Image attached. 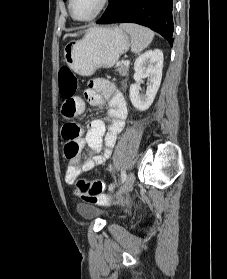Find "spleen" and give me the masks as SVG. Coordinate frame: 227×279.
I'll return each mask as SVG.
<instances>
[{
	"mask_svg": "<svg viewBox=\"0 0 227 279\" xmlns=\"http://www.w3.org/2000/svg\"><path fill=\"white\" fill-rule=\"evenodd\" d=\"M120 27L131 36V51L133 53H140L153 40V31L146 27L130 23L120 24Z\"/></svg>",
	"mask_w": 227,
	"mask_h": 279,
	"instance_id": "obj_1",
	"label": "spleen"
}]
</instances>
